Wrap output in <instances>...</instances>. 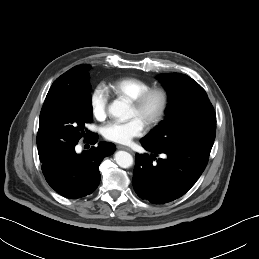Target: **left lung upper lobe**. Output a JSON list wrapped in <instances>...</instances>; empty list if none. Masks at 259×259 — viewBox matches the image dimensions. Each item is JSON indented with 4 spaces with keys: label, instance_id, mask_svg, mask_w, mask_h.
<instances>
[{
    "label": "left lung upper lobe",
    "instance_id": "left-lung-upper-lobe-1",
    "mask_svg": "<svg viewBox=\"0 0 259 259\" xmlns=\"http://www.w3.org/2000/svg\"><path fill=\"white\" fill-rule=\"evenodd\" d=\"M158 78L169 96L166 117L141 140L171 151L211 149L216 114L205 90L187 75L167 73Z\"/></svg>",
    "mask_w": 259,
    "mask_h": 259
}]
</instances>
